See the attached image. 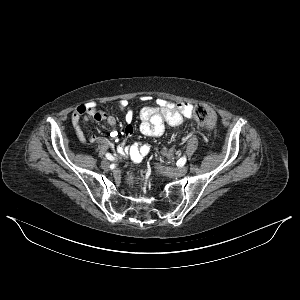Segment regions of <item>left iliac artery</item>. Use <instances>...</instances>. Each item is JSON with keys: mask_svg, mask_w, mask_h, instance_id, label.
Returning a JSON list of instances; mask_svg holds the SVG:
<instances>
[{"mask_svg": "<svg viewBox=\"0 0 300 300\" xmlns=\"http://www.w3.org/2000/svg\"><path fill=\"white\" fill-rule=\"evenodd\" d=\"M186 163V157L184 156V157H182V158H180L178 161H177V164H179V165H184Z\"/></svg>", "mask_w": 300, "mask_h": 300, "instance_id": "obj_1", "label": "left iliac artery"}]
</instances>
